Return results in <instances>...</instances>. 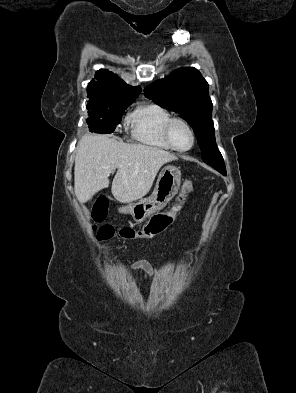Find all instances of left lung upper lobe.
<instances>
[{
  "instance_id": "left-lung-upper-lobe-1",
  "label": "left lung upper lobe",
  "mask_w": 296,
  "mask_h": 393,
  "mask_svg": "<svg viewBox=\"0 0 296 393\" xmlns=\"http://www.w3.org/2000/svg\"><path fill=\"white\" fill-rule=\"evenodd\" d=\"M144 92L161 107L181 114L193 127L203 161L220 173L226 172L215 140L209 86L197 69H177L146 87Z\"/></svg>"
}]
</instances>
